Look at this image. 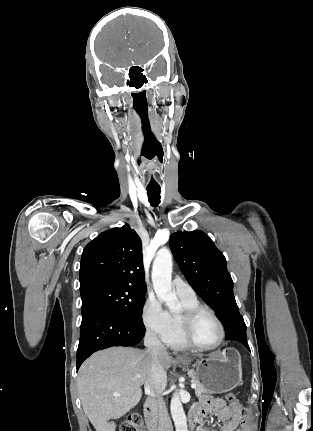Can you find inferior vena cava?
<instances>
[{
	"instance_id": "inferior-vena-cava-1",
	"label": "inferior vena cava",
	"mask_w": 313,
	"mask_h": 431,
	"mask_svg": "<svg viewBox=\"0 0 313 431\" xmlns=\"http://www.w3.org/2000/svg\"><path fill=\"white\" fill-rule=\"evenodd\" d=\"M144 345L150 356V371L145 381V391L148 392V403L158 420V431H173L165 402L161 396L167 382V374L161 363L162 356L166 355V348L152 331H147Z\"/></svg>"
}]
</instances>
